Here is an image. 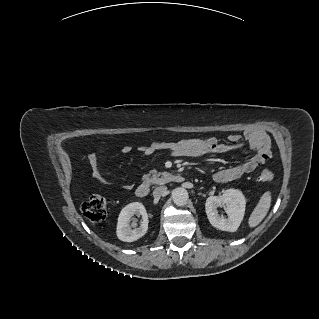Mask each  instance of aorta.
I'll list each match as a JSON object with an SVG mask.
<instances>
[{"mask_svg": "<svg viewBox=\"0 0 319 319\" xmlns=\"http://www.w3.org/2000/svg\"><path fill=\"white\" fill-rule=\"evenodd\" d=\"M188 192L186 189L178 187L175 188L172 192V199L173 202L177 205V206H185L188 202Z\"/></svg>", "mask_w": 319, "mask_h": 319, "instance_id": "762f6f07", "label": "aorta"}]
</instances>
